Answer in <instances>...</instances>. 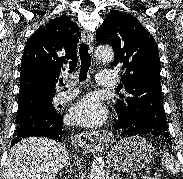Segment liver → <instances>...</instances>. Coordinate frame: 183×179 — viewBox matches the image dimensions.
<instances>
[{
	"instance_id": "6515ba94",
	"label": "liver",
	"mask_w": 183,
	"mask_h": 179,
	"mask_svg": "<svg viewBox=\"0 0 183 179\" xmlns=\"http://www.w3.org/2000/svg\"><path fill=\"white\" fill-rule=\"evenodd\" d=\"M68 162V151L60 143L48 138H26L9 151L3 179H55Z\"/></svg>"
}]
</instances>
